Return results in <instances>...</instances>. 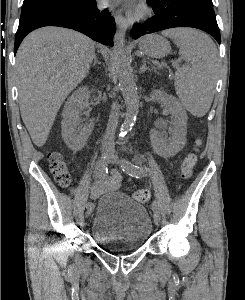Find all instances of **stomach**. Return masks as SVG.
Returning <instances> with one entry per match:
<instances>
[{
  "label": "stomach",
  "mask_w": 245,
  "mask_h": 300,
  "mask_svg": "<svg viewBox=\"0 0 245 300\" xmlns=\"http://www.w3.org/2000/svg\"><path fill=\"white\" fill-rule=\"evenodd\" d=\"M139 49L144 54L154 58L165 57L170 53V43L162 36L151 34L143 37L139 42Z\"/></svg>",
  "instance_id": "0dacf381"
}]
</instances>
